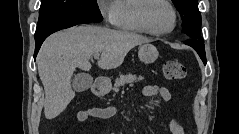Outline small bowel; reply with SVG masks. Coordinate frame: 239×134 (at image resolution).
<instances>
[{
    "instance_id": "c3829d8e",
    "label": "small bowel",
    "mask_w": 239,
    "mask_h": 134,
    "mask_svg": "<svg viewBox=\"0 0 239 134\" xmlns=\"http://www.w3.org/2000/svg\"><path fill=\"white\" fill-rule=\"evenodd\" d=\"M143 95L146 97H157L163 101H168L171 98V93L168 88L157 85H147L143 88ZM117 112L114 106H98L88 110H83L77 114V123L80 126L88 118L109 119ZM170 134H184L183 127L175 120L170 123Z\"/></svg>"
}]
</instances>
